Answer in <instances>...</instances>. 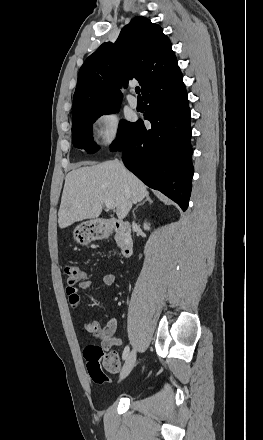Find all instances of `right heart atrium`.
I'll return each instance as SVG.
<instances>
[{
    "mask_svg": "<svg viewBox=\"0 0 263 440\" xmlns=\"http://www.w3.org/2000/svg\"><path fill=\"white\" fill-rule=\"evenodd\" d=\"M94 135L98 145L108 147L116 143L120 137L121 121L113 110H106L94 120Z\"/></svg>",
    "mask_w": 263,
    "mask_h": 440,
    "instance_id": "1",
    "label": "right heart atrium"
}]
</instances>
